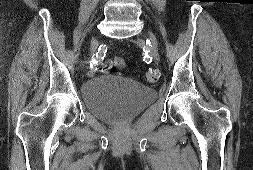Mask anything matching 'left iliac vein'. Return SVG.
Returning a JSON list of instances; mask_svg holds the SVG:
<instances>
[{
  "mask_svg": "<svg viewBox=\"0 0 253 170\" xmlns=\"http://www.w3.org/2000/svg\"><path fill=\"white\" fill-rule=\"evenodd\" d=\"M149 35L151 38V42L148 47V50H149L150 55L154 58V60L158 62L160 60V55L157 48V41L151 32H149ZM140 42L141 44H144V41H140Z\"/></svg>",
  "mask_w": 253,
  "mask_h": 170,
  "instance_id": "4c4485c4",
  "label": "left iliac vein"
}]
</instances>
